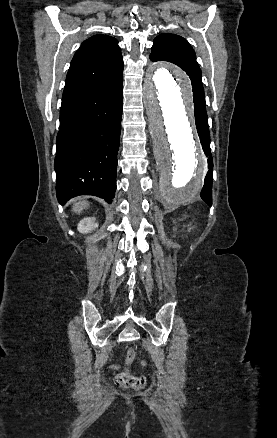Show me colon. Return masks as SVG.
Wrapping results in <instances>:
<instances>
[{
	"label": "colon",
	"instance_id": "colon-1",
	"mask_svg": "<svg viewBox=\"0 0 277 438\" xmlns=\"http://www.w3.org/2000/svg\"><path fill=\"white\" fill-rule=\"evenodd\" d=\"M135 358L134 350L130 349L128 351V359L133 360ZM115 382L124 388L129 389H154L156 383L154 380H146L144 377L133 376L127 372L118 373L115 376Z\"/></svg>",
	"mask_w": 277,
	"mask_h": 438
}]
</instances>
